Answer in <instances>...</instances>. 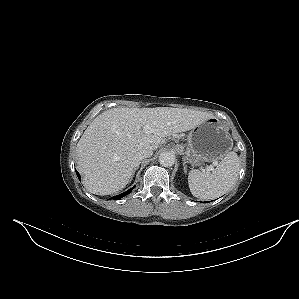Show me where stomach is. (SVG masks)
Listing matches in <instances>:
<instances>
[{"mask_svg":"<svg viewBox=\"0 0 299 299\" xmlns=\"http://www.w3.org/2000/svg\"><path fill=\"white\" fill-rule=\"evenodd\" d=\"M187 143V159L195 166L221 160L232 148L231 136L215 117L195 126L187 136Z\"/></svg>","mask_w":299,"mask_h":299,"instance_id":"stomach-1","label":"stomach"}]
</instances>
